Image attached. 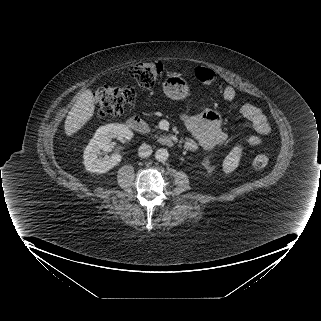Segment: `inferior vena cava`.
<instances>
[{"mask_svg": "<svg viewBox=\"0 0 321 321\" xmlns=\"http://www.w3.org/2000/svg\"><path fill=\"white\" fill-rule=\"evenodd\" d=\"M152 154V148L150 145L143 143L138 149V155L141 158H147Z\"/></svg>", "mask_w": 321, "mask_h": 321, "instance_id": "inferior-vena-cava-1", "label": "inferior vena cava"}]
</instances>
